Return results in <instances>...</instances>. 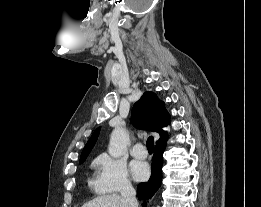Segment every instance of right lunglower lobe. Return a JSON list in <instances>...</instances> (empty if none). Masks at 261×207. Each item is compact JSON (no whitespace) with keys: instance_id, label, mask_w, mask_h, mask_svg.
Masks as SVG:
<instances>
[{"instance_id":"1","label":"right lung lower lobe","mask_w":261,"mask_h":207,"mask_svg":"<svg viewBox=\"0 0 261 207\" xmlns=\"http://www.w3.org/2000/svg\"><path fill=\"white\" fill-rule=\"evenodd\" d=\"M166 148V141L156 144L154 151L151 177L148 182L140 183L137 187V197L139 200H146L152 197L161 186L162 181V166H163V152ZM146 207V204H143Z\"/></svg>"}]
</instances>
